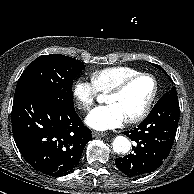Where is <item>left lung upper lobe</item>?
I'll use <instances>...</instances> for the list:
<instances>
[{"instance_id": "left-lung-upper-lobe-1", "label": "left lung upper lobe", "mask_w": 194, "mask_h": 194, "mask_svg": "<svg viewBox=\"0 0 194 194\" xmlns=\"http://www.w3.org/2000/svg\"><path fill=\"white\" fill-rule=\"evenodd\" d=\"M153 66H155L156 68H159L160 70H162L165 74H166V71L160 67L159 65L157 64H153L151 63ZM167 95H177V91H176V88L175 87H172V89L168 92V93H165L164 96H167Z\"/></svg>"}]
</instances>
